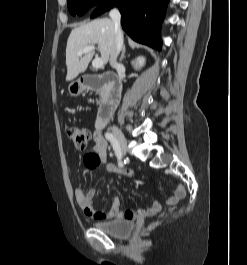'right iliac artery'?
Listing matches in <instances>:
<instances>
[{
	"instance_id": "1",
	"label": "right iliac artery",
	"mask_w": 247,
	"mask_h": 265,
	"mask_svg": "<svg viewBox=\"0 0 247 265\" xmlns=\"http://www.w3.org/2000/svg\"><path fill=\"white\" fill-rule=\"evenodd\" d=\"M105 137H106V139L111 143V145H112V147H113V149H114V151H115V154H116V156H117V158H118V165H119L120 167H123V162H122V160H121V158H122V153H121V149H120V147H119V144H118L116 138H115L114 135H113L112 133H110V132H106V133H105Z\"/></svg>"
}]
</instances>
